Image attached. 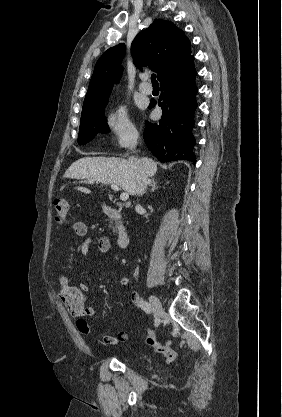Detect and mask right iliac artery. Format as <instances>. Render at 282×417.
Wrapping results in <instances>:
<instances>
[{"label": "right iliac artery", "instance_id": "82829eb1", "mask_svg": "<svg viewBox=\"0 0 282 417\" xmlns=\"http://www.w3.org/2000/svg\"><path fill=\"white\" fill-rule=\"evenodd\" d=\"M137 306L141 308L142 310H144L146 313L152 312L151 305L148 302L144 301L143 299H139L137 301Z\"/></svg>", "mask_w": 282, "mask_h": 417}]
</instances>
